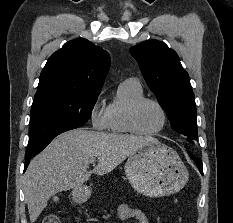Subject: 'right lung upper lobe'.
Returning <instances> with one entry per match:
<instances>
[{
	"mask_svg": "<svg viewBox=\"0 0 233 223\" xmlns=\"http://www.w3.org/2000/svg\"><path fill=\"white\" fill-rule=\"evenodd\" d=\"M110 56L86 39L68 41L47 61L35 96L50 92L100 93Z\"/></svg>",
	"mask_w": 233,
	"mask_h": 223,
	"instance_id": "obj_1",
	"label": "right lung upper lobe"
}]
</instances>
